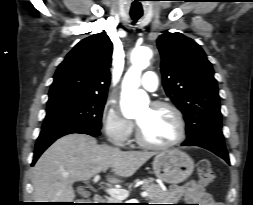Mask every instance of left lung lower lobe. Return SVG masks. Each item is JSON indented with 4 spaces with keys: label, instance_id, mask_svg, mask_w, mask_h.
<instances>
[{
    "label": "left lung lower lobe",
    "instance_id": "0a47b994",
    "mask_svg": "<svg viewBox=\"0 0 253 205\" xmlns=\"http://www.w3.org/2000/svg\"><path fill=\"white\" fill-rule=\"evenodd\" d=\"M188 145H196L205 149H208L218 155L219 157L223 158L227 163H229L228 153L225 147V143L223 139L208 137L202 140H199L193 144H186L183 143L182 146Z\"/></svg>",
    "mask_w": 253,
    "mask_h": 205
}]
</instances>
